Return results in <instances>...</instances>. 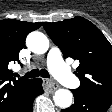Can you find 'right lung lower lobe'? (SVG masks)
I'll return each instance as SVG.
<instances>
[{
    "label": "right lung lower lobe",
    "mask_w": 112,
    "mask_h": 112,
    "mask_svg": "<svg viewBox=\"0 0 112 112\" xmlns=\"http://www.w3.org/2000/svg\"><path fill=\"white\" fill-rule=\"evenodd\" d=\"M42 79H33L28 86L16 107L11 112H33L34 99L43 93Z\"/></svg>",
    "instance_id": "98d812e1"
}]
</instances>
